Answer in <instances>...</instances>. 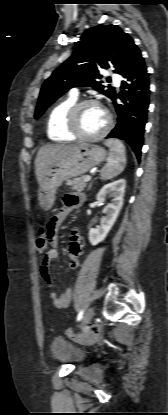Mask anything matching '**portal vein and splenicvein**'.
<instances>
[{"instance_id":"1","label":"portal vein and splenic vein","mask_w":168,"mask_h":415,"mask_svg":"<svg viewBox=\"0 0 168 415\" xmlns=\"http://www.w3.org/2000/svg\"><path fill=\"white\" fill-rule=\"evenodd\" d=\"M90 180H91V176L90 175H88V176L85 177V182H88Z\"/></svg>"}]
</instances>
